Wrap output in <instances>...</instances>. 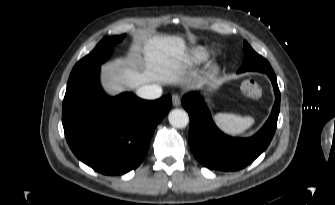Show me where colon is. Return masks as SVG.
<instances>
[{
    "mask_svg": "<svg viewBox=\"0 0 335 205\" xmlns=\"http://www.w3.org/2000/svg\"><path fill=\"white\" fill-rule=\"evenodd\" d=\"M242 91L251 98H258L262 95V88L252 78H246L241 83Z\"/></svg>",
    "mask_w": 335,
    "mask_h": 205,
    "instance_id": "colon-1",
    "label": "colon"
}]
</instances>
